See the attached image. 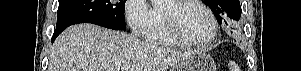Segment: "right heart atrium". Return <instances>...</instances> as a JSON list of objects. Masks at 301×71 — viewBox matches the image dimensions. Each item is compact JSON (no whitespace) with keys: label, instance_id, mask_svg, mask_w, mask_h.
Instances as JSON below:
<instances>
[{"label":"right heart atrium","instance_id":"obj_1","mask_svg":"<svg viewBox=\"0 0 301 71\" xmlns=\"http://www.w3.org/2000/svg\"><path fill=\"white\" fill-rule=\"evenodd\" d=\"M125 18L131 31L137 36H145L154 19V10L146 0H128Z\"/></svg>","mask_w":301,"mask_h":71}]
</instances>
